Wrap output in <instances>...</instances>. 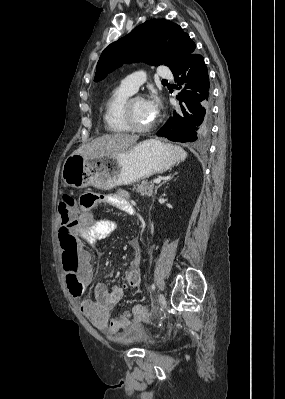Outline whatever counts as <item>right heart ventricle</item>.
I'll use <instances>...</instances> for the list:
<instances>
[{
	"label": "right heart ventricle",
	"mask_w": 285,
	"mask_h": 399,
	"mask_svg": "<svg viewBox=\"0 0 285 399\" xmlns=\"http://www.w3.org/2000/svg\"><path fill=\"white\" fill-rule=\"evenodd\" d=\"M131 92L121 85L116 87L104 104V123L108 131L115 134L130 132L124 121L123 107Z\"/></svg>",
	"instance_id": "obj_1"
}]
</instances>
